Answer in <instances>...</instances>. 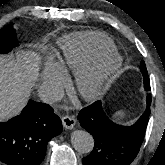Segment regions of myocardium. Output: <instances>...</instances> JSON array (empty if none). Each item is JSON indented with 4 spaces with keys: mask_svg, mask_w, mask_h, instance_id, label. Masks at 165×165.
<instances>
[{
    "mask_svg": "<svg viewBox=\"0 0 165 165\" xmlns=\"http://www.w3.org/2000/svg\"><path fill=\"white\" fill-rule=\"evenodd\" d=\"M122 57L115 51L99 54L79 70L75 76V90L85 101L98 99L108 83L122 67Z\"/></svg>",
    "mask_w": 165,
    "mask_h": 165,
    "instance_id": "myocardium-1",
    "label": "myocardium"
}]
</instances>
